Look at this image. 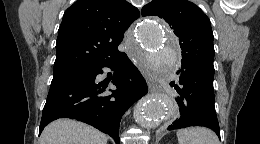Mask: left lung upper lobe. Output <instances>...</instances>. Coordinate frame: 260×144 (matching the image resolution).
Masks as SVG:
<instances>
[{"mask_svg": "<svg viewBox=\"0 0 260 144\" xmlns=\"http://www.w3.org/2000/svg\"><path fill=\"white\" fill-rule=\"evenodd\" d=\"M141 13L164 19L174 30L182 49V64L214 75V36L210 20L198 6L187 0H153Z\"/></svg>", "mask_w": 260, "mask_h": 144, "instance_id": "5c2ea615", "label": "left lung upper lobe"}]
</instances>
